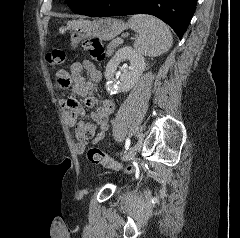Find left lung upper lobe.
Wrapping results in <instances>:
<instances>
[{"label":"left lung upper lobe","instance_id":"5c2ea615","mask_svg":"<svg viewBox=\"0 0 240 238\" xmlns=\"http://www.w3.org/2000/svg\"><path fill=\"white\" fill-rule=\"evenodd\" d=\"M65 1L73 11L79 13L85 8H87L90 4H92L95 0H65Z\"/></svg>","mask_w":240,"mask_h":238}]
</instances>
